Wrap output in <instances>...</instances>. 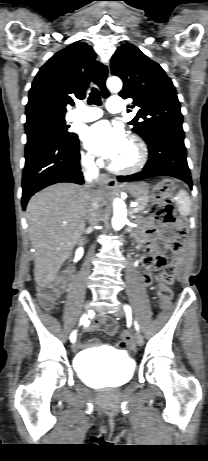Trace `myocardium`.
Wrapping results in <instances>:
<instances>
[{
  "mask_svg": "<svg viewBox=\"0 0 208 461\" xmlns=\"http://www.w3.org/2000/svg\"><path fill=\"white\" fill-rule=\"evenodd\" d=\"M127 142L134 148L136 152V160L129 166H120L113 161L109 163L111 171L117 174H133L140 171L146 164L148 159V151L145 143L136 135H130Z\"/></svg>",
  "mask_w": 208,
  "mask_h": 461,
  "instance_id": "obj_1",
  "label": "myocardium"
}]
</instances>
